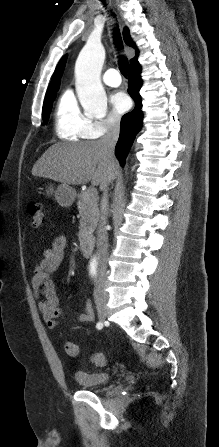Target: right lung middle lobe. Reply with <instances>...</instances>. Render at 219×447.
<instances>
[{"instance_id": "dd1d6c3e", "label": "right lung middle lobe", "mask_w": 219, "mask_h": 447, "mask_svg": "<svg viewBox=\"0 0 219 447\" xmlns=\"http://www.w3.org/2000/svg\"><path fill=\"white\" fill-rule=\"evenodd\" d=\"M55 96L56 95H52L44 100V104H43V121H44V123H47V121H48V117H49L52 103L55 99Z\"/></svg>"}]
</instances>
